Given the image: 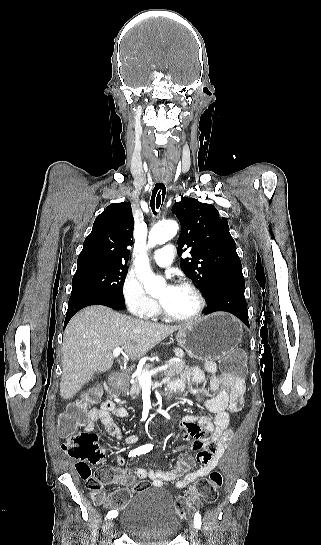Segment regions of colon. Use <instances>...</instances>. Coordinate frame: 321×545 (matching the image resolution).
<instances>
[{
  "label": "colon",
  "mask_w": 321,
  "mask_h": 545,
  "mask_svg": "<svg viewBox=\"0 0 321 545\" xmlns=\"http://www.w3.org/2000/svg\"><path fill=\"white\" fill-rule=\"evenodd\" d=\"M220 367L224 374L234 378H243L246 374L244 358L237 351L230 352L223 357ZM99 397V390L91 389L84 394L81 401L70 404L59 417L58 432L63 439L62 449L71 457L92 460L101 456L97 436L83 430V426L88 420L89 408L98 402ZM81 477L87 482L91 499L97 504H105L114 510L123 509L128 504L132 492L150 487L147 481H137L131 490L122 489L106 496L103 490L104 476L100 471L94 475L84 472ZM222 484L223 477L218 471H213L207 477L200 478L184 496L176 499L177 516L180 519H188L197 503H213L218 497Z\"/></svg>",
  "instance_id": "1"
}]
</instances>
